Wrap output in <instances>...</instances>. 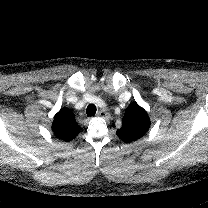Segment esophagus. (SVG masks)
I'll list each match as a JSON object with an SVG mask.
<instances>
[{"mask_svg": "<svg viewBox=\"0 0 208 208\" xmlns=\"http://www.w3.org/2000/svg\"><path fill=\"white\" fill-rule=\"evenodd\" d=\"M97 116L101 118H110V114L106 110L99 111Z\"/></svg>", "mask_w": 208, "mask_h": 208, "instance_id": "34e87169", "label": "esophagus"}]
</instances>
